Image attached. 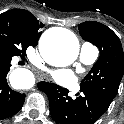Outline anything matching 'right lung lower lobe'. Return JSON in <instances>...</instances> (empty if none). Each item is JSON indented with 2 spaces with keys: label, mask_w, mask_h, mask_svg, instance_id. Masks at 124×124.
<instances>
[{
  "label": "right lung lower lobe",
  "mask_w": 124,
  "mask_h": 124,
  "mask_svg": "<svg viewBox=\"0 0 124 124\" xmlns=\"http://www.w3.org/2000/svg\"><path fill=\"white\" fill-rule=\"evenodd\" d=\"M11 59L0 55V120L16 114L25 100V94L13 91L7 83Z\"/></svg>",
  "instance_id": "98d812e1"
}]
</instances>
